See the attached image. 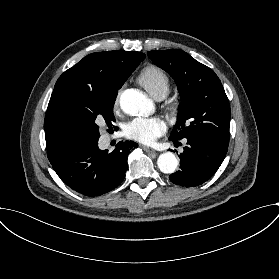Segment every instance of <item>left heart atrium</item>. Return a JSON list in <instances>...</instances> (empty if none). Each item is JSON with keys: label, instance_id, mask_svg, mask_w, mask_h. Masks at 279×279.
Listing matches in <instances>:
<instances>
[{"label": "left heart atrium", "instance_id": "left-heart-atrium-1", "mask_svg": "<svg viewBox=\"0 0 279 279\" xmlns=\"http://www.w3.org/2000/svg\"><path fill=\"white\" fill-rule=\"evenodd\" d=\"M166 131L164 122L157 116L136 117L125 123L123 134L126 138L141 144H151Z\"/></svg>", "mask_w": 279, "mask_h": 279}]
</instances>
